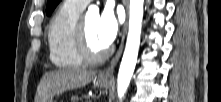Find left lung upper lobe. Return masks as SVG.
<instances>
[{
    "label": "left lung upper lobe",
    "mask_w": 221,
    "mask_h": 102,
    "mask_svg": "<svg viewBox=\"0 0 221 102\" xmlns=\"http://www.w3.org/2000/svg\"><path fill=\"white\" fill-rule=\"evenodd\" d=\"M60 0H48L47 2V15H51L55 7L58 5Z\"/></svg>",
    "instance_id": "5c2ea615"
}]
</instances>
